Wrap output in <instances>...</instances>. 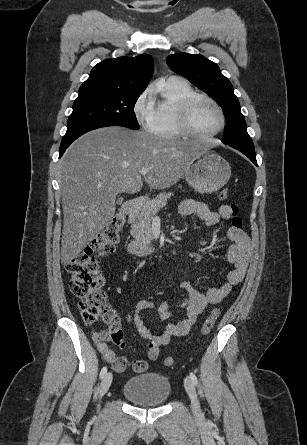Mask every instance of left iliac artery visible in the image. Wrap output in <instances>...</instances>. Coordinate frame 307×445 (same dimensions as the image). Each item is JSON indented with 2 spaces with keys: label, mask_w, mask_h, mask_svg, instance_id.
<instances>
[{
  "label": "left iliac artery",
  "mask_w": 307,
  "mask_h": 445,
  "mask_svg": "<svg viewBox=\"0 0 307 445\" xmlns=\"http://www.w3.org/2000/svg\"><path fill=\"white\" fill-rule=\"evenodd\" d=\"M189 377H190L191 381L193 382V384L197 385L198 380H197V377L195 376V374L193 372H190Z\"/></svg>",
  "instance_id": "1"
}]
</instances>
